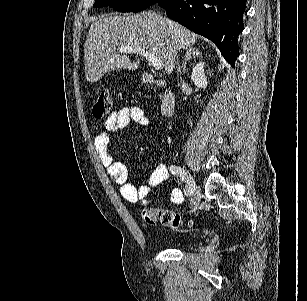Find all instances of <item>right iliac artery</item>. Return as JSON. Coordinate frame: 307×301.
<instances>
[{
  "mask_svg": "<svg viewBox=\"0 0 307 301\" xmlns=\"http://www.w3.org/2000/svg\"><path fill=\"white\" fill-rule=\"evenodd\" d=\"M170 172L172 174H174V175L179 176L182 179V181H184L186 183L185 194L186 195H191L190 188L187 185V176H188L187 172L183 168H181L179 166H176V165H171L170 166Z\"/></svg>",
  "mask_w": 307,
  "mask_h": 301,
  "instance_id": "82829eb1",
  "label": "right iliac artery"
}]
</instances>
